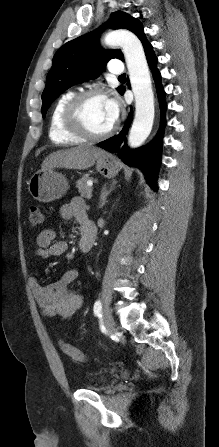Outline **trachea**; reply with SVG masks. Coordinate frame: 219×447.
Listing matches in <instances>:
<instances>
[{
	"mask_svg": "<svg viewBox=\"0 0 219 447\" xmlns=\"http://www.w3.org/2000/svg\"><path fill=\"white\" fill-rule=\"evenodd\" d=\"M119 78H126V75L122 74V75L119 76Z\"/></svg>",
	"mask_w": 219,
	"mask_h": 447,
	"instance_id": "3493384b",
	"label": "trachea"
}]
</instances>
